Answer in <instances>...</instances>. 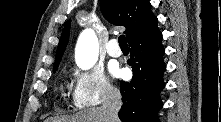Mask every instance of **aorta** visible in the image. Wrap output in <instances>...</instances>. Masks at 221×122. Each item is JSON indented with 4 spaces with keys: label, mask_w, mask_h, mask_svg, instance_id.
<instances>
[{
    "label": "aorta",
    "mask_w": 221,
    "mask_h": 122,
    "mask_svg": "<svg viewBox=\"0 0 221 122\" xmlns=\"http://www.w3.org/2000/svg\"><path fill=\"white\" fill-rule=\"evenodd\" d=\"M99 44L95 32L85 29L79 36L76 50L75 61L78 67L88 70L97 62Z\"/></svg>",
    "instance_id": "1"
}]
</instances>
